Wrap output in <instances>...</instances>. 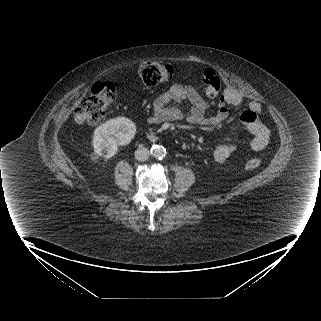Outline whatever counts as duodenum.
<instances>
[{"label": "duodenum", "instance_id": "obj_1", "mask_svg": "<svg viewBox=\"0 0 321 321\" xmlns=\"http://www.w3.org/2000/svg\"><path fill=\"white\" fill-rule=\"evenodd\" d=\"M148 138L151 140V141H155L157 139L156 135L154 134H148Z\"/></svg>", "mask_w": 321, "mask_h": 321}]
</instances>
